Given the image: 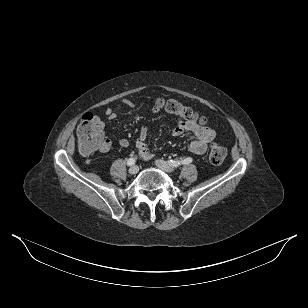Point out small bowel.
I'll return each instance as SVG.
<instances>
[{
    "mask_svg": "<svg viewBox=\"0 0 308 308\" xmlns=\"http://www.w3.org/2000/svg\"><path fill=\"white\" fill-rule=\"evenodd\" d=\"M121 107L123 108H134L135 103L131 100H123L121 102ZM154 112L158 111V108H153ZM104 115L109 119L113 120L117 117V113L113 109H106ZM97 120L103 130V122L97 117ZM188 132L194 136V139L189 145V151L195 155H202L206 152L208 144L214 139L215 131L205 125L198 124L192 120H182L177 119V122L172 130L173 136H180L183 133ZM148 129L146 126H141L138 130L135 145L138 150L139 156L144 160H149L152 158V153L147 144ZM129 145V140L127 138H122L119 140L120 147H127ZM111 147V141L107 138H102L101 144L98 148L100 152H107Z\"/></svg>",
    "mask_w": 308,
    "mask_h": 308,
    "instance_id": "small-bowel-1",
    "label": "small bowel"
}]
</instances>
